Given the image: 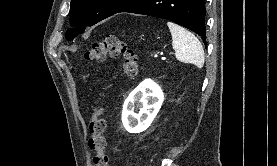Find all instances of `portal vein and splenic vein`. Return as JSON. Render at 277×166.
<instances>
[{"label":"portal vein and splenic vein","mask_w":277,"mask_h":166,"mask_svg":"<svg viewBox=\"0 0 277 166\" xmlns=\"http://www.w3.org/2000/svg\"><path fill=\"white\" fill-rule=\"evenodd\" d=\"M154 58H158V55H157V54H154Z\"/></svg>","instance_id":"obj_1"}]
</instances>
